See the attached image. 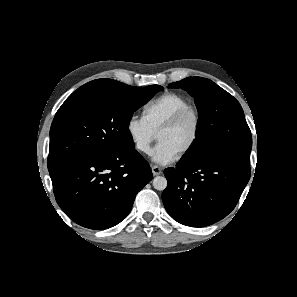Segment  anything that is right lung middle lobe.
Wrapping results in <instances>:
<instances>
[{"mask_svg": "<svg viewBox=\"0 0 297 297\" xmlns=\"http://www.w3.org/2000/svg\"><path fill=\"white\" fill-rule=\"evenodd\" d=\"M100 81L95 90L70 95L57 111L50 129L48 170L73 156L134 148L128 128L133 111L164 89Z\"/></svg>", "mask_w": 297, "mask_h": 297, "instance_id": "right-lung-middle-lobe-1", "label": "right lung middle lobe"}]
</instances>
